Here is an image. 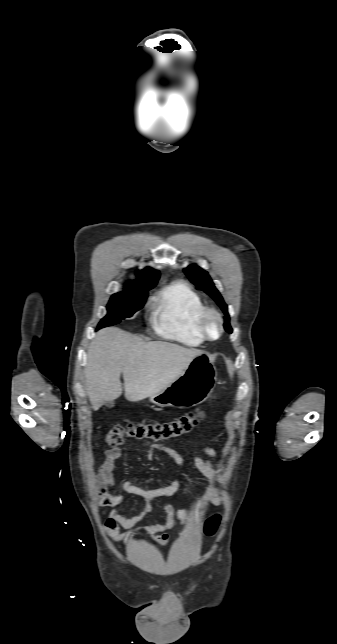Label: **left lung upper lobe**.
I'll return each instance as SVG.
<instances>
[{
    "label": "left lung upper lobe",
    "mask_w": 337,
    "mask_h": 644,
    "mask_svg": "<svg viewBox=\"0 0 337 644\" xmlns=\"http://www.w3.org/2000/svg\"><path fill=\"white\" fill-rule=\"evenodd\" d=\"M184 273L193 284H195L199 289H201L202 291L207 293L210 297H212L216 301V303L221 307L224 314L227 316L224 326L228 331H230L231 328L229 325V319H228L229 314L227 311V305L223 301V298L220 295L219 291L214 286V283L212 282L208 273L195 264L185 268Z\"/></svg>",
    "instance_id": "1"
}]
</instances>
